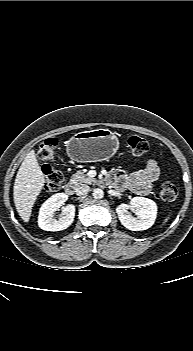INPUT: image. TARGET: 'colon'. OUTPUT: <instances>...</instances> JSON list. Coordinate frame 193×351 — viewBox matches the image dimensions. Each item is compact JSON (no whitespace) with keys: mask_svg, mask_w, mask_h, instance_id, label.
Returning <instances> with one entry per match:
<instances>
[{"mask_svg":"<svg viewBox=\"0 0 193 351\" xmlns=\"http://www.w3.org/2000/svg\"><path fill=\"white\" fill-rule=\"evenodd\" d=\"M128 147L134 156H141L147 153L149 149L148 142L139 136H131L128 138ZM59 143L55 138L45 139L38 150V158L42 162H53L58 154ZM64 181L62 172L54 167L48 166L44 170V190L46 192L57 191ZM159 197L165 202H172L177 198L178 190L176 185L169 181H162L158 189Z\"/></svg>","mask_w":193,"mask_h":351,"instance_id":"obj_1","label":"colon"}]
</instances>
